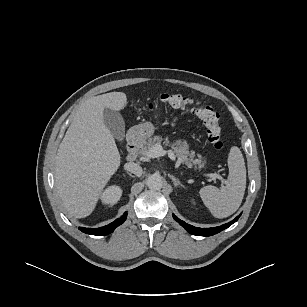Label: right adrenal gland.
Segmentation results:
<instances>
[{
  "label": "right adrenal gland",
  "instance_id": "obj_1",
  "mask_svg": "<svg viewBox=\"0 0 307 307\" xmlns=\"http://www.w3.org/2000/svg\"><path fill=\"white\" fill-rule=\"evenodd\" d=\"M127 174L129 175V176H131V177H134L131 173H129V172H127Z\"/></svg>",
  "mask_w": 307,
  "mask_h": 307
}]
</instances>
